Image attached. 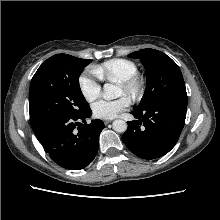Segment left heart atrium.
I'll return each instance as SVG.
<instances>
[{
	"label": "left heart atrium",
	"instance_id": "39dd6f15",
	"mask_svg": "<svg viewBox=\"0 0 220 220\" xmlns=\"http://www.w3.org/2000/svg\"><path fill=\"white\" fill-rule=\"evenodd\" d=\"M129 100L122 96L114 100L99 99L92 104V112L95 117L111 119L129 107Z\"/></svg>",
	"mask_w": 220,
	"mask_h": 220
}]
</instances>
